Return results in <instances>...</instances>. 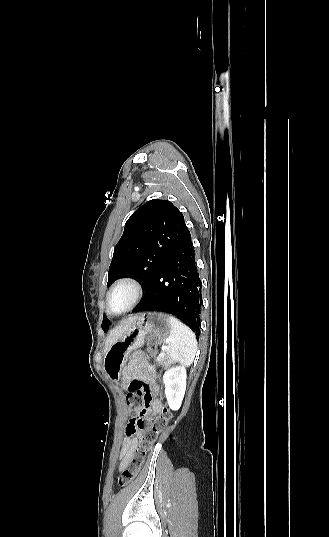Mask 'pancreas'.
<instances>
[{
  "label": "pancreas",
  "mask_w": 329,
  "mask_h": 537,
  "mask_svg": "<svg viewBox=\"0 0 329 537\" xmlns=\"http://www.w3.org/2000/svg\"><path fill=\"white\" fill-rule=\"evenodd\" d=\"M157 362L160 365L164 366L165 368H167L172 363L171 360L169 359V357L166 354L159 355L157 357Z\"/></svg>",
  "instance_id": "obj_1"
}]
</instances>
